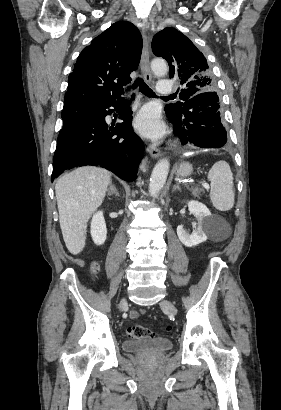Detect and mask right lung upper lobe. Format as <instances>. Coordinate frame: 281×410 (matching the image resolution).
Here are the masks:
<instances>
[{
	"mask_svg": "<svg viewBox=\"0 0 281 410\" xmlns=\"http://www.w3.org/2000/svg\"><path fill=\"white\" fill-rule=\"evenodd\" d=\"M142 52V37L130 22L118 21L93 39L78 56L68 78L64 108L96 107L121 97Z\"/></svg>",
	"mask_w": 281,
	"mask_h": 410,
	"instance_id": "obj_1",
	"label": "right lung upper lobe"
}]
</instances>
